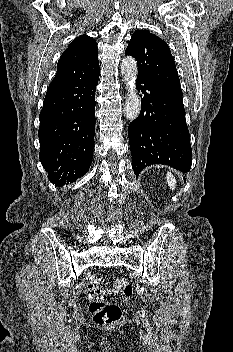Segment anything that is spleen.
I'll use <instances>...</instances> for the list:
<instances>
[{"mask_svg": "<svg viewBox=\"0 0 233 352\" xmlns=\"http://www.w3.org/2000/svg\"><path fill=\"white\" fill-rule=\"evenodd\" d=\"M167 182H168V186L170 187V189L175 190V188H176V179L171 173L167 174Z\"/></svg>", "mask_w": 233, "mask_h": 352, "instance_id": "spleen-1", "label": "spleen"}]
</instances>
